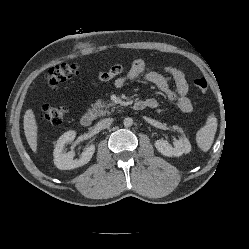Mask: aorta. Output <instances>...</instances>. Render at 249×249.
Returning <instances> with one entry per match:
<instances>
[{
    "label": "aorta",
    "instance_id": "1",
    "mask_svg": "<svg viewBox=\"0 0 249 249\" xmlns=\"http://www.w3.org/2000/svg\"><path fill=\"white\" fill-rule=\"evenodd\" d=\"M123 124H124V126H126V127H130V126L133 125V119L127 117V118L124 119Z\"/></svg>",
    "mask_w": 249,
    "mask_h": 249
}]
</instances>
